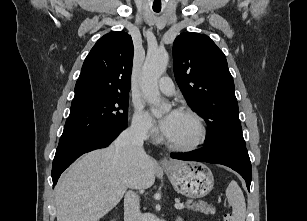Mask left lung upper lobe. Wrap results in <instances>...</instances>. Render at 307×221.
<instances>
[{
    "label": "left lung upper lobe",
    "mask_w": 307,
    "mask_h": 221,
    "mask_svg": "<svg viewBox=\"0 0 307 221\" xmlns=\"http://www.w3.org/2000/svg\"><path fill=\"white\" fill-rule=\"evenodd\" d=\"M174 75L190 108L206 121L205 145L247 151L233 78L224 53L204 34L181 33L173 44Z\"/></svg>",
    "instance_id": "left-lung-upper-lobe-1"
}]
</instances>
